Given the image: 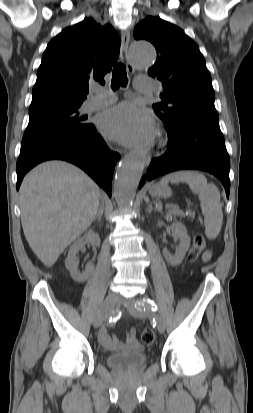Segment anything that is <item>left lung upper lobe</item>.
Instances as JSON below:
<instances>
[{
    "mask_svg": "<svg viewBox=\"0 0 253 413\" xmlns=\"http://www.w3.org/2000/svg\"><path fill=\"white\" fill-rule=\"evenodd\" d=\"M134 37L148 40L156 48L157 60L148 75L162 81V102L153 109L167 127L196 117L219 121L205 59L182 29L150 16L137 24Z\"/></svg>",
    "mask_w": 253,
    "mask_h": 413,
    "instance_id": "1",
    "label": "left lung upper lobe"
}]
</instances>
